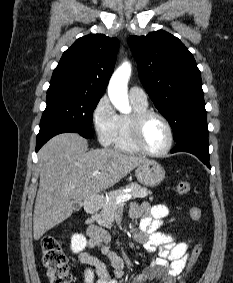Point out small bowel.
Segmentation results:
<instances>
[{"label":"small bowel","mask_w":233,"mask_h":283,"mask_svg":"<svg viewBox=\"0 0 233 283\" xmlns=\"http://www.w3.org/2000/svg\"><path fill=\"white\" fill-rule=\"evenodd\" d=\"M169 211L165 205H154L143 202L131 207V216L139 219L140 233L138 241L149 253H156L142 272L137 274L131 283H147L158 280L159 283H178L184 276L188 261V243L176 242L172 234L160 230ZM90 239L88 248L99 247L110 260L114 274L110 275L105 264L95 256L82 252L79 260L85 265L83 271L85 283H118L123 276V259L110 250L108 233L96 226L88 229Z\"/></svg>","instance_id":"obj_1"}]
</instances>
